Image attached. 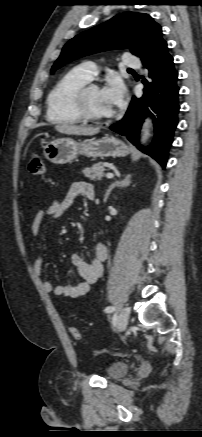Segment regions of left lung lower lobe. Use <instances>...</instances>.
<instances>
[{
    "instance_id": "obj_1",
    "label": "left lung lower lobe",
    "mask_w": 202,
    "mask_h": 437,
    "mask_svg": "<svg viewBox=\"0 0 202 437\" xmlns=\"http://www.w3.org/2000/svg\"><path fill=\"white\" fill-rule=\"evenodd\" d=\"M148 73L142 77L144 94L133 97L125 116L110 129L127 136L134 145L154 158L163 168L166 166L168 150L173 142V133L178 124L179 87L178 72L173 57L163 44L148 60L143 61ZM151 116L155 126L152 144L143 149L138 144V134L143 120Z\"/></svg>"
}]
</instances>
